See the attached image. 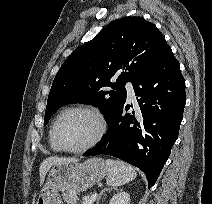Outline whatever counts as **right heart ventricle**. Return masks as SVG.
<instances>
[{"label": "right heart ventricle", "mask_w": 212, "mask_h": 204, "mask_svg": "<svg viewBox=\"0 0 212 204\" xmlns=\"http://www.w3.org/2000/svg\"><path fill=\"white\" fill-rule=\"evenodd\" d=\"M48 142H49V146L50 148L55 151V152H60L61 149L56 145L54 139H53V135H52V127L49 130V134H48Z\"/></svg>", "instance_id": "right-heart-ventricle-1"}]
</instances>
